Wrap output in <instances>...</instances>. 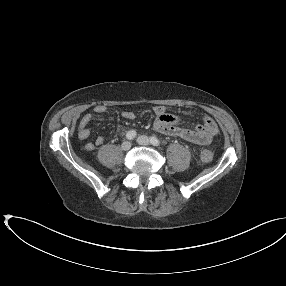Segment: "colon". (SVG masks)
Instances as JSON below:
<instances>
[{"instance_id":"5ec220e1","label":"colon","mask_w":286,"mask_h":286,"mask_svg":"<svg viewBox=\"0 0 286 286\" xmlns=\"http://www.w3.org/2000/svg\"><path fill=\"white\" fill-rule=\"evenodd\" d=\"M213 159V154L210 150H203L201 152V160L203 162H210Z\"/></svg>"}]
</instances>
